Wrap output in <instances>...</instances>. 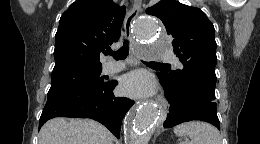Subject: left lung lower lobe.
I'll list each match as a JSON object with an SVG mask.
<instances>
[{
    "instance_id": "0a47b994",
    "label": "left lung lower lobe",
    "mask_w": 260,
    "mask_h": 144,
    "mask_svg": "<svg viewBox=\"0 0 260 144\" xmlns=\"http://www.w3.org/2000/svg\"><path fill=\"white\" fill-rule=\"evenodd\" d=\"M157 76L170 104L167 118L163 123L164 128L199 120L209 122L220 129L214 90L195 81H188L175 87L161 72H158Z\"/></svg>"
}]
</instances>
